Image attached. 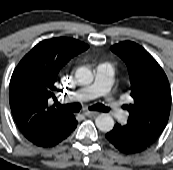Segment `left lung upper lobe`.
<instances>
[{
	"mask_svg": "<svg viewBox=\"0 0 173 170\" xmlns=\"http://www.w3.org/2000/svg\"><path fill=\"white\" fill-rule=\"evenodd\" d=\"M111 50L127 65L132 103L125 127L154 143L167 125L171 108V90L166 74L156 60L140 45L124 41Z\"/></svg>",
	"mask_w": 173,
	"mask_h": 170,
	"instance_id": "1",
	"label": "left lung upper lobe"
}]
</instances>
